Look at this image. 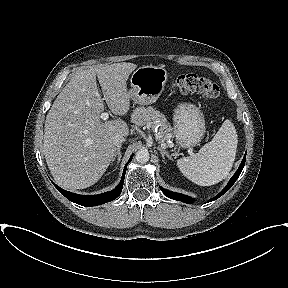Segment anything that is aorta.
I'll return each mask as SVG.
<instances>
[{
	"instance_id": "1",
	"label": "aorta",
	"mask_w": 288,
	"mask_h": 288,
	"mask_svg": "<svg viewBox=\"0 0 288 288\" xmlns=\"http://www.w3.org/2000/svg\"><path fill=\"white\" fill-rule=\"evenodd\" d=\"M149 158H150V155L146 149H141L137 151L135 154V159L137 160V162L141 164L147 163L149 161Z\"/></svg>"
}]
</instances>
